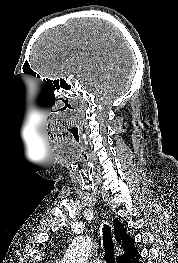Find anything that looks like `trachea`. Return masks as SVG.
<instances>
[{
	"label": "trachea",
	"instance_id": "1",
	"mask_svg": "<svg viewBox=\"0 0 178 263\" xmlns=\"http://www.w3.org/2000/svg\"><path fill=\"white\" fill-rule=\"evenodd\" d=\"M102 232H103V247L105 249V261L106 263H115L114 245L112 241L110 227L108 225H104Z\"/></svg>",
	"mask_w": 178,
	"mask_h": 263
}]
</instances>
